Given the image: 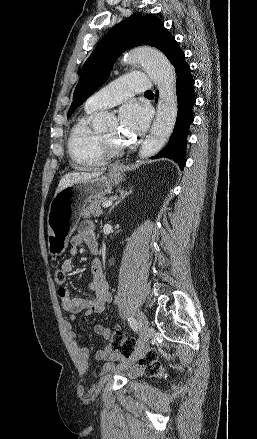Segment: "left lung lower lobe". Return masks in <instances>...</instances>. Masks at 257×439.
Here are the masks:
<instances>
[{"label":"left lung lower lobe","mask_w":257,"mask_h":439,"mask_svg":"<svg viewBox=\"0 0 257 439\" xmlns=\"http://www.w3.org/2000/svg\"><path fill=\"white\" fill-rule=\"evenodd\" d=\"M176 72L178 112L177 121L173 133L167 143L158 154L152 157L169 158L178 163L182 169L186 163L187 136L191 123L194 121L192 108L196 102L194 95V80L190 73V67L185 62L184 52L174 40L166 55Z\"/></svg>","instance_id":"obj_1"}]
</instances>
